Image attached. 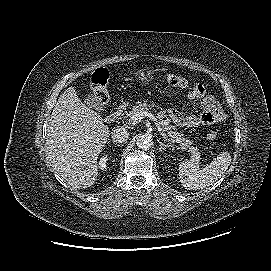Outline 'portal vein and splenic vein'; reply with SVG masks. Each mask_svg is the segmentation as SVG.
I'll return each mask as SVG.
<instances>
[{
	"instance_id": "1",
	"label": "portal vein and splenic vein",
	"mask_w": 271,
	"mask_h": 271,
	"mask_svg": "<svg viewBox=\"0 0 271 271\" xmlns=\"http://www.w3.org/2000/svg\"><path fill=\"white\" fill-rule=\"evenodd\" d=\"M146 116L149 117V118L155 123V125H156V127H157L159 133L161 134V136H162L164 139H166V140L169 141L167 135L163 132V130H162L160 124L158 123L156 117H155L152 113H150V112H147V111H140V112H137L136 114H134V115L130 118L129 122H130L131 124H137L138 122H140V121H141L144 117H146Z\"/></svg>"
}]
</instances>
